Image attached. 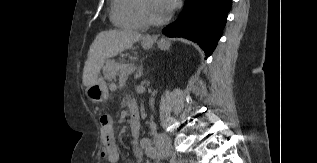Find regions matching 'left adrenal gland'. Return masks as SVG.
Returning <instances> with one entry per match:
<instances>
[{
  "mask_svg": "<svg viewBox=\"0 0 317 163\" xmlns=\"http://www.w3.org/2000/svg\"><path fill=\"white\" fill-rule=\"evenodd\" d=\"M142 75H143V66H141V67L139 68V70L137 71L136 77L139 78V77H141Z\"/></svg>",
  "mask_w": 317,
  "mask_h": 163,
  "instance_id": "a2214340",
  "label": "left adrenal gland"
}]
</instances>
